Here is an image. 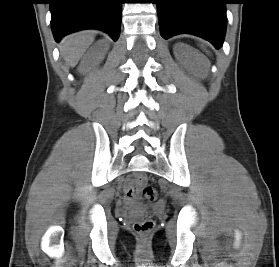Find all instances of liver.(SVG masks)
Returning a JSON list of instances; mask_svg holds the SVG:
<instances>
[{"label":"liver","mask_w":279,"mask_h":267,"mask_svg":"<svg viewBox=\"0 0 279 267\" xmlns=\"http://www.w3.org/2000/svg\"><path fill=\"white\" fill-rule=\"evenodd\" d=\"M94 31H81L66 36L60 43V53L68 66L74 67L94 41Z\"/></svg>","instance_id":"obj_1"}]
</instances>
